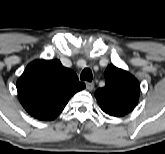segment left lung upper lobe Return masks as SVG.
Listing matches in <instances>:
<instances>
[{"instance_id":"5c2ea615","label":"left lung upper lobe","mask_w":165,"mask_h":154,"mask_svg":"<svg viewBox=\"0 0 165 154\" xmlns=\"http://www.w3.org/2000/svg\"><path fill=\"white\" fill-rule=\"evenodd\" d=\"M140 85L129 72L110 64L105 70V86L95 92L101 109L121 117L134 109L138 102Z\"/></svg>"}]
</instances>
